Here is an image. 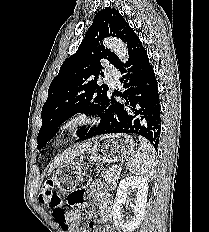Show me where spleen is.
I'll return each mask as SVG.
<instances>
[{
	"mask_svg": "<svg viewBox=\"0 0 209 232\" xmlns=\"http://www.w3.org/2000/svg\"><path fill=\"white\" fill-rule=\"evenodd\" d=\"M127 167L133 174L151 178L156 168V154L151 143L140 138V147L128 158Z\"/></svg>",
	"mask_w": 209,
	"mask_h": 232,
	"instance_id": "1",
	"label": "spleen"
}]
</instances>
